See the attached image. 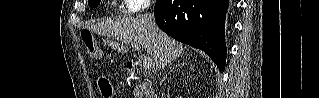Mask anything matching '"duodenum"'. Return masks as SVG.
I'll list each match as a JSON object with an SVG mask.
<instances>
[{"label":"duodenum","mask_w":319,"mask_h":98,"mask_svg":"<svg viewBox=\"0 0 319 98\" xmlns=\"http://www.w3.org/2000/svg\"><path fill=\"white\" fill-rule=\"evenodd\" d=\"M126 70L130 74H136L137 73V67L133 62H127L126 63ZM153 98H156V96H153Z\"/></svg>","instance_id":"duodenum-1"}]
</instances>
